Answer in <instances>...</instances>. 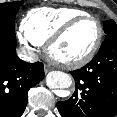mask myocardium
Returning a JSON list of instances; mask_svg holds the SVG:
<instances>
[{"label": "myocardium", "instance_id": "f54148a6", "mask_svg": "<svg viewBox=\"0 0 117 117\" xmlns=\"http://www.w3.org/2000/svg\"><path fill=\"white\" fill-rule=\"evenodd\" d=\"M85 20H93L96 22L98 27V34L95 40V43L91 50L83 57L75 59V60H63L58 58L53 53V48L56 44H58L67 34L79 23ZM104 30L101 21L92 15H83L76 18L71 19L67 23H65L59 30H57L46 42L45 51L49 60L55 64L56 66L65 68V69H76L88 64L90 61L98 53L102 40H103Z\"/></svg>", "mask_w": 117, "mask_h": 117}]
</instances>
